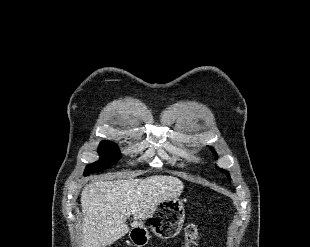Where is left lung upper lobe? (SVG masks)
<instances>
[{
    "label": "left lung upper lobe",
    "instance_id": "5c2ea615",
    "mask_svg": "<svg viewBox=\"0 0 310 247\" xmlns=\"http://www.w3.org/2000/svg\"><path fill=\"white\" fill-rule=\"evenodd\" d=\"M211 150L214 152V155H216L217 156V154H216V152L213 150V148H211ZM216 159H217V157H216ZM219 171H221L222 173H225L226 175H227V177L229 178V179H231L230 178V176H229V173L227 172V171H225V170H223V169H219V168H217Z\"/></svg>",
    "mask_w": 310,
    "mask_h": 247
}]
</instances>
